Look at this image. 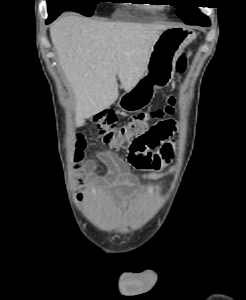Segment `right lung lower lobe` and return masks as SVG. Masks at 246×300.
<instances>
[{
	"instance_id": "right-lung-lower-lobe-1",
	"label": "right lung lower lobe",
	"mask_w": 246,
	"mask_h": 300,
	"mask_svg": "<svg viewBox=\"0 0 246 300\" xmlns=\"http://www.w3.org/2000/svg\"><path fill=\"white\" fill-rule=\"evenodd\" d=\"M58 15H54V16H49L48 19L46 20V24L51 23L52 21H54L56 19Z\"/></svg>"
}]
</instances>
